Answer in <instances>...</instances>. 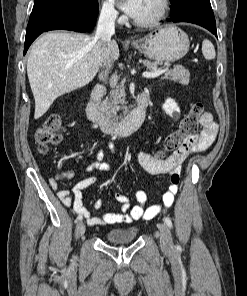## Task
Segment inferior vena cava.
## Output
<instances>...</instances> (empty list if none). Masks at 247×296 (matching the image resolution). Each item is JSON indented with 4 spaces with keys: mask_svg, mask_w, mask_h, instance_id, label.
Segmentation results:
<instances>
[{
    "mask_svg": "<svg viewBox=\"0 0 247 296\" xmlns=\"http://www.w3.org/2000/svg\"><path fill=\"white\" fill-rule=\"evenodd\" d=\"M117 17V12L113 7H105L102 9L96 30V36L101 40L104 46L105 58L109 60V47L111 43V36L115 33V19ZM111 65H104L101 73L99 74V79L107 83V78Z\"/></svg>",
    "mask_w": 247,
    "mask_h": 296,
    "instance_id": "obj_1",
    "label": "inferior vena cava"
}]
</instances>
